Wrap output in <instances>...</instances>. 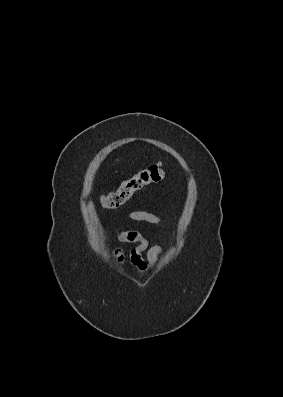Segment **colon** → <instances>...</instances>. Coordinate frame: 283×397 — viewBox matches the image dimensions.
<instances>
[{
	"instance_id": "obj_1",
	"label": "colon",
	"mask_w": 283,
	"mask_h": 397,
	"mask_svg": "<svg viewBox=\"0 0 283 397\" xmlns=\"http://www.w3.org/2000/svg\"><path fill=\"white\" fill-rule=\"evenodd\" d=\"M166 171L161 164H152L140 169L125 179L113 191L101 196V204L106 209H115L124 205L135 193L143 188L164 180Z\"/></svg>"
}]
</instances>
